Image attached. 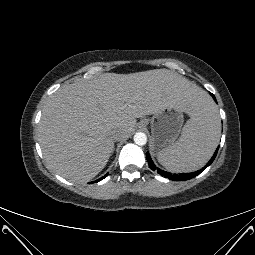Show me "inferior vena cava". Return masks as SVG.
<instances>
[{
    "instance_id": "1",
    "label": "inferior vena cava",
    "mask_w": 255,
    "mask_h": 255,
    "mask_svg": "<svg viewBox=\"0 0 255 255\" xmlns=\"http://www.w3.org/2000/svg\"><path fill=\"white\" fill-rule=\"evenodd\" d=\"M111 138H112L114 141H120L121 139H123V134H122L120 131H114V132L111 134Z\"/></svg>"
}]
</instances>
